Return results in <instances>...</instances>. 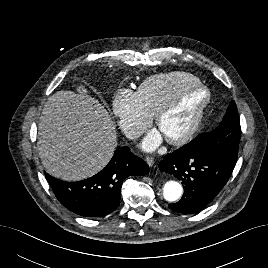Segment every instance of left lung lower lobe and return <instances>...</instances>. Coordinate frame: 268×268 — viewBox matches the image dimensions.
<instances>
[{"label": "left lung lower lobe", "instance_id": "0a47b994", "mask_svg": "<svg viewBox=\"0 0 268 268\" xmlns=\"http://www.w3.org/2000/svg\"><path fill=\"white\" fill-rule=\"evenodd\" d=\"M236 161L222 155L180 149L167 154L159 169L182 181L184 194L169 208L184 214L207 206L228 181Z\"/></svg>", "mask_w": 268, "mask_h": 268}]
</instances>
